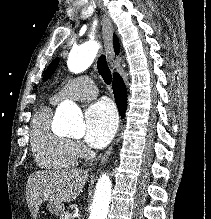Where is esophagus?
I'll return each instance as SVG.
<instances>
[{"instance_id":"esophagus-1","label":"esophagus","mask_w":211,"mask_h":219,"mask_svg":"<svg viewBox=\"0 0 211 219\" xmlns=\"http://www.w3.org/2000/svg\"><path fill=\"white\" fill-rule=\"evenodd\" d=\"M113 27L110 19L108 18L107 15L102 16V38L104 42V47L107 55V59L110 63H113L114 61V52H113ZM119 142V137H117L113 144L109 147V149L105 152V154L102 156L100 160V165L105 163L108 159L109 156L111 155L114 146Z\"/></svg>"}]
</instances>
